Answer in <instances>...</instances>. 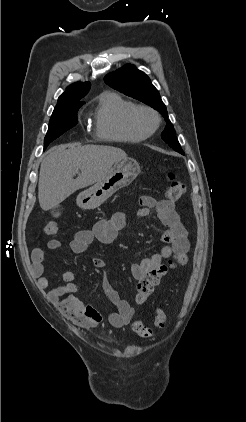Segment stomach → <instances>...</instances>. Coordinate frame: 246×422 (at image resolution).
Instances as JSON below:
<instances>
[{
    "label": "stomach",
    "instance_id": "0dacf381",
    "mask_svg": "<svg viewBox=\"0 0 246 422\" xmlns=\"http://www.w3.org/2000/svg\"><path fill=\"white\" fill-rule=\"evenodd\" d=\"M139 172L136 160L125 158L118 161L102 180L78 195L77 204L86 210L97 208L116 191L130 185Z\"/></svg>",
    "mask_w": 246,
    "mask_h": 422
}]
</instances>
